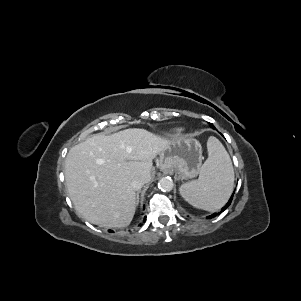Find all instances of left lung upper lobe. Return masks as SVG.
<instances>
[{"label": "left lung upper lobe", "mask_w": 301, "mask_h": 301, "mask_svg": "<svg viewBox=\"0 0 301 301\" xmlns=\"http://www.w3.org/2000/svg\"><path fill=\"white\" fill-rule=\"evenodd\" d=\"M210 125H211V127H212L213 129L215 128V127L213 126V124L210 123Z\"/></svg>", "instance_id": "5c2ea615"}]
</instances>
